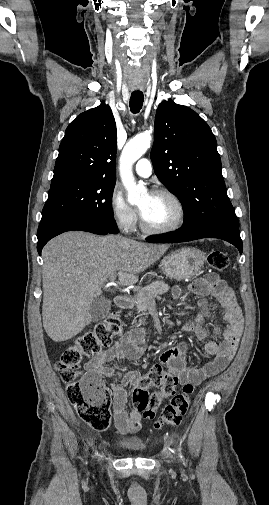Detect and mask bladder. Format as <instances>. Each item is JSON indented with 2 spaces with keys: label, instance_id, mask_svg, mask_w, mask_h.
<instances>
[{
  "label": "bladder",
  "instance_id": "31cf9c89",
  "mask_svg": "<svg viewBox=\"0 0 269 505\" xmlns=\"http://www.w3.org/2000/svg\"><path fill=\"white\" fill-rule=\"evenodd\" d=\"M118 448L129 452H144L147 445L137 441H120L117 443Z\"/></svg>",
  "mask_w": 269,
  "mask_h": 505
}]
</instances>
